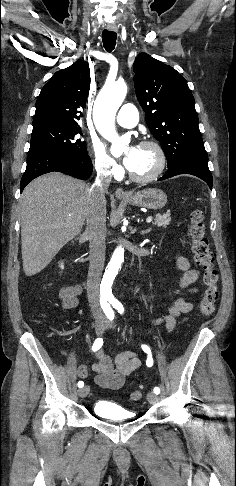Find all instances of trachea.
<instances>
[{
    "label": "trachea",
    "mask_w": 236,
    "mask_h": 486,
    "mask_svg": "<svg viewBox=\"0 0 236 486\" xmlns=\"http://www.w3.org/2000/svg\"><path fill=\"white\" fill-rule=\"evenodd\" d=\"M117 34L112 31L104 30L102 32V42L105 50L111 52L116 45Z\"/></svg>",
    "instance_id": "1"
}]
</instances>
